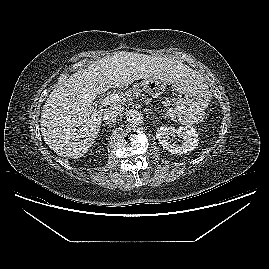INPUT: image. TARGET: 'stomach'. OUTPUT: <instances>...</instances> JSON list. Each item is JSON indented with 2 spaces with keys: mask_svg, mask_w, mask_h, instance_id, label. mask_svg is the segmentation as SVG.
Masks as SVG:
<instances>
[{
  "mask_svg": "<svg viewBox=\"0 0 269 269\" xmlns=\"http://www.w3.org/2000/svg\"><path fill=\"white\" fill-rule=\"evenodd\" d=\"M142 86L147 92L155 93L162 90L165 84L153 78H147L142 82ZM173 87L179 96L174 101L175 114L191 123L199 121L211 99L207 85L199 78L192 77L188 81L175 82Z\"/></svg>",
  "mask_w": 269,
  "mask_h": 269,
  "instance_id": "0dacf381",
  "label": "stomach"
}]
</instances>
